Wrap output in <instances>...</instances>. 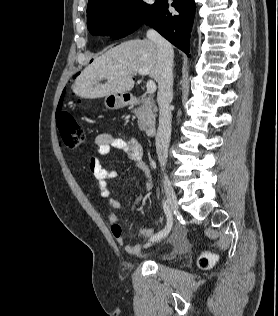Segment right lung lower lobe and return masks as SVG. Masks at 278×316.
<instances>
[{
	"label": "right lung lower lobe",
	"mask_w": 278,
	"mask_h": 316,
	"mask_svg": "<svg viewBox=\"0 0 278 316\" xmlns=\"http://www.w3.org/2000/svg\"><path fill=\"white\" fill-rule=\"evenodd\" d=\"M156 6L145 22L189 57V39L196 9L194 0H174L171 4L179 14L168 11L167 0H157Z\"/></svg>",
	"instance_id": "98d812e1"
}]
</instances>
